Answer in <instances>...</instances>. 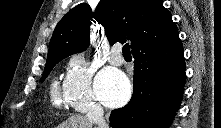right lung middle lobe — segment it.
<instances>
[{
	"label": "right lung middle lobe",
	"mask_w": 221,
	"mask_h": 128,
	"mask_svg": "<svg viewBox=\"0 0 221 128\" xmlns=\"http://www.w3.org/2000/svg\"><path fill=\"white\" fill-rule=\"evenodd\" d=\"M63 58L59 59V60H56V61H53V62H50V63H47L45 65V69H44V73L42 75V79H41V82H43L45 80V78L48 76V74L50 73V71L53 69V67L59 62L61 61Z\"/></svg>",
	"instance_id": "obj_1"
}]
</instances>
